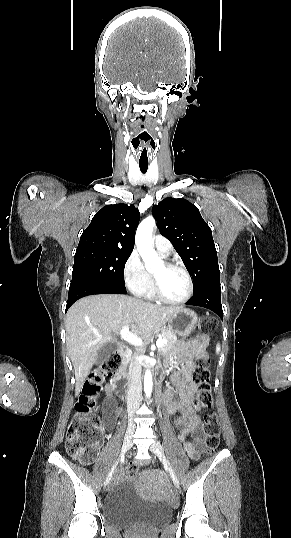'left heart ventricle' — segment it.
Segmentation results:
<instances>
[{
    "mask_svg": "<svg viewBox=\"0 0 291 538\" xmlns=\"http://www.w3.org/2000/svg\"><path fill=\"white\" fill-rule=\"evenodd\" d=\"M152 274L158 279L162 293L167 298L177 300L186 294L188 283L180 270L168 269L162 263L152 271Z\"/></svg>",
    "mask_w": 291,
    "mask_h": 538,
    "instance_id": "left-heart-ventricle-1",
    "label": "left heart ventricle"
}]
</instances>
